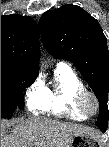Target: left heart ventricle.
<instances>
[{
    "label": "left heart ventricle",
    "mask_w": 109,
    "mask_h": 147,
    "mask_svg": "<svg viewBox=\"0 0 109 147\" xmlns=\"http://www.w3.org/2000/svg\"><path fill=\"white\" fill-rule=\"evenodd\" d=\"M85 106L89 112H93L95 110V101L93 98L88 97L85 100Z\"/></svg>",
    "instance_id": "left-heart-ventricle-1"
}]
</instances>
